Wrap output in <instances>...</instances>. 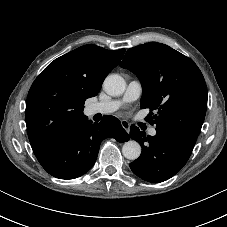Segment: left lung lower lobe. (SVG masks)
<instances>
[{
	"instance_id": "1",
	"label": "left lung lower lobe",
	"mask_w": 227,
	"mask_h": 227,
	"mask_svg": "<svg viewBox=\"0 0 227 227\" xmlns=\"http://www.w3.org/2000/svg\"><path fill=\"white\" fill-rule=\"evenodd\" d=\"M155 136L131 126L130 137L142 147V155L129 166L134 174L148 182L168 180L188 161L194 145L175 137L166 130H157Z\"/></svg>"
}]
</instances>
